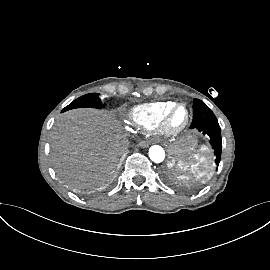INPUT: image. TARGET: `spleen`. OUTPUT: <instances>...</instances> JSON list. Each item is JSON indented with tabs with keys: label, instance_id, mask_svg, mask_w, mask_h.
Instances as JSON below:
<instances>
[{
	"label": "spleen",
	"instance_id": "obj_1",
	"mask_svg": "<svg viewBox=\"0 0 270 270\" xmlns=\"http://www.w3.org/2000/svg\"><path fill=\"white\" fill-rule=\"evenodd\" d=\"M209 149L206 146H202L197 154L193 156V161L190 162H183L182 164L185 168L195 174L197 177H202L206 174V170H200V166L207 165V154Z\"/></svg>",
	"mask_w": 270,
	"mask_h": 270
}]
</instances>
